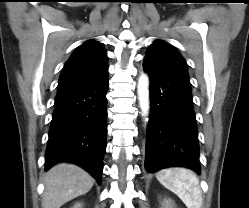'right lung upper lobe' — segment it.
I'll list each match as a JSON object with an SVG mask.
<instances>
[{
  "label": "right lung upper lobe",
  "mask_w": 249,
  "mask_h": 208,
  "mask_svg": "<svg viewBox=\"0 0 249 208\" xmlns=\"http://www.w3.org/2000/svg\"><path fill=\"white\" fill-rule=\"evenodd\" d=\"M107 55L101 43L90 40L80 45L66 62L58 83V92L93 83L107 75Z\"/></svg>",
  "instance_id": "1"
}]
</instances>
